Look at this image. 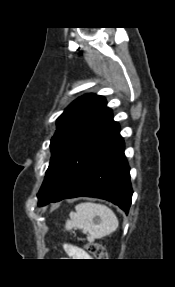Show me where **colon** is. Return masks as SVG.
<instances>
[{
  "mask_svg": "<svg viewBox=\"0 0 175 287\" xmlns=\"http://www.w3.org/2000/svg\"><path fill=\"white\" fill-rule=\"evenodd\" d=\"M86 249L90 254L98 259H104L106 257V251L104 247L99 243H88L86 244Z\"/></svg>",
  "mask_w": 175,
  "mask_h": 287,
  "instance_id": "5ec220e1",
  "label": "colon"
}]
</instances>
